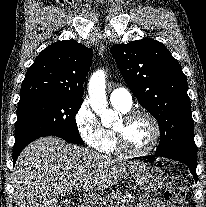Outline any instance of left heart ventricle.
<instances>
[{
	"label": "left heart ventricle",
	"instance_id": "b2bd125f",
	"mask_svg": "<svg viewBox=\"0 0 206 207\" xmlns=\"http://www.w3.org/2000/svg\"><path fill=\"white\" fill-rule=\"evenodd\" d=\"M116 128L123 130L126 144L136 151L147 148L154 136L152 124L145 117L136 118L125 126L120 121Z\"/></svg>",
	"mask_w": 206,
	"mask_h": 207
}]
</instances>
